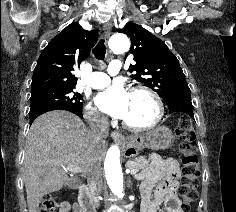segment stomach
I'll return each mask as SVG.
<instances>
[{
  "mask_svg": "<svg viewBox=\"0 0 236 212\" xmlns=\"http://www.w3.org/2000/svg\"><path fill=\"white\" fill-rule=\"evenodd\" d=\"M174 136L166 126H158L144 135H132L128 137L125 151L126 155L136 156L145 147L153 150H165L172 146Z\"/></svg>",
  "mask_w": 236,
  "mask_h": 212,
  "instance_id": "1",
  "label": "stomach"
}]
</instances>
